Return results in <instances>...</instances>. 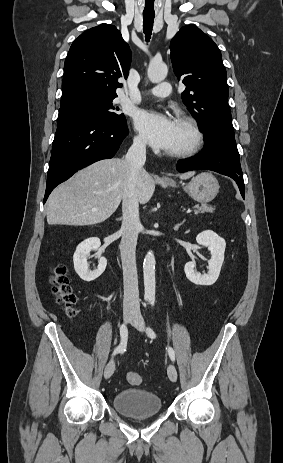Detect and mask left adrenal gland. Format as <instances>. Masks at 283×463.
<instances>
[{"label":"left adrenal gland","instance_id":"left-adrenal-gland-1","mask_svg":"<svg viewBox=\"0 0 283 463\" xmlns=\"http://www.w3.org/2000/svg\"><path fill=\"white\" fill-rule=\"evenodd\" d=\"M184 222H185V220H183L181 223L176 224V226L174 227V229H175V230H178L179 227H180L182 224H184Z\"/></svg>","mask_w":283,"mask_h":463}]
</instances>
